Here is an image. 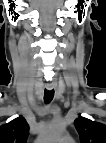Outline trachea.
<instances>
[{
    "label": "trachea",
    "instance_id": "obj_1",
    "mask_svg": "<svg viewBox=\"0 0 106 143\" xmlns=\"http://www.w3.org/2000/svg\"><path fill=\"white\" fill-rule=\"evenodd\" d=\"M54 97V90H45L44 91V101L46 104L50 103Z\"/></svg>",
    "mask_w": 106,
    "mask_h": 143
}]
</instances>
